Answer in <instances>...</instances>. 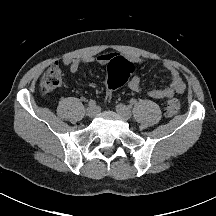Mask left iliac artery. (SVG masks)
Returning <instances> with one entry per match:
<instances>
[{
    "mask_svg": "<svg viewBox=\"0 0 216 216\" xmlns=\"http://www.w3.org/2000/svg\"><path fill=\"white\" fill-rule=\"evenodd\" d=\"M136 99H131L130 101H129V103L131 104V105H135L136 104Z\"/></svg>",
    "mask_w": 216,
    "mask_h": 216,
    "instance_id": "44dca946",
    "label": "left iliac artery"
}]
</instances>
